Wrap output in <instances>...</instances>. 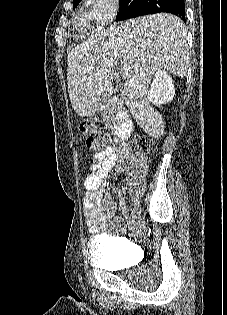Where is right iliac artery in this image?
I'll list each match as a JSON object with an SVG mask.
<instances>
[{"mask_svg":"<svg viewBox=\"0 0 227 315\" xmlns=\"http://www.w3.org/2000/svg\"><path fill=\"white\" fill-rule=\"evenodd\" d=\"M139 204V200L137 198L134 199V205L137 206Z\"/></svg>","mask_w":227,"mask_h":315,"instance_id":"82829eb1","label":"right iliac artery"}]
</instances>
